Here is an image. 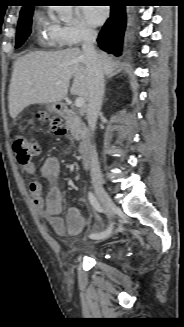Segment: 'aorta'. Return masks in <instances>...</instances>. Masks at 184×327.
<instances>
[{"mask_svg":"<svg viewBox=\"0 0 184 327\" xmlns=\"http://www.w3.org/2000/svg\"><path fill=\"white\" fill-rule=\"evenodd\" d=\"M67 18H71V15H69Z\"/></svg>","mask_w":184,"mask_h":327,"instance_id":"1","label":"aorta"}]
</instances>
